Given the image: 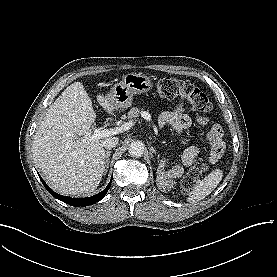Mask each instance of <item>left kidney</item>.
<instances>
[{"label":"left kidney","instance_id":"obj_1","mask_svg":"<svg viewBox=\"0 0 277 277\" xmlns=\"http://www.w3.org/2000/svg\"><path fill=\"white\" fill-rule=\"evenodd\" d=\"M165 161H161L159 164L158 170H157V183L159 187L162 189H167L171 188V182L168 181L169 179L174 177V174L172 171L165 172L164 167H165Z\"/></svg>","mask_w":277,"mask_h":277}]
</instances>
